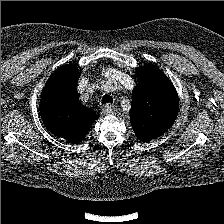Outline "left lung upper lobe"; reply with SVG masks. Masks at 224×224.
Wrapping results in <instances>:
<instances>
[{"mask_svg":"<svg viewBox=\"0 0 224 224\" xmlns=\"http://www.w3.org/2000/svg\"><path fill=\"white\" fill-rule=\"evenodd\" d=\"M136 73L139 82L132 92L131 123L138 139L148 142L173 125L179 101L173 83L155 65L139 67Z\"/></svg>","mask_w":224,"mask_h":224,"instance_id":"1","label":"left lung upper lobe"}]
</instances>
